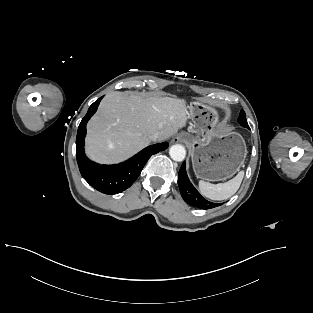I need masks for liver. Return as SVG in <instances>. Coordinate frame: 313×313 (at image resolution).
<instances>
[{
    "label": "liver",
    "instance_id": "liver-1",
    "mask_svg": "<svg viewBox=\"0 0 313 313\" xmlns=\"http://www.w3.org/2000/svg\"><path fill=\"white\" fill-rule=\"evenodd\" d=\"M183 99L111 92L87 125L86 152L94 161L116 163L135 154L161 134L165 140L186 126Z\"/></svg>",
    "mask_w": 313,
    "mask_h": 313
}]
</instances>
